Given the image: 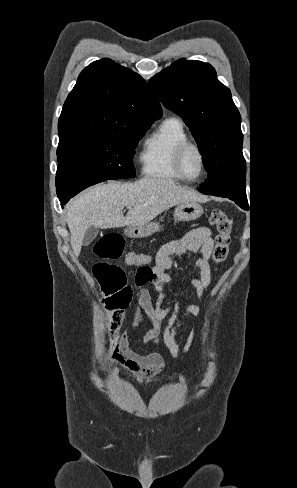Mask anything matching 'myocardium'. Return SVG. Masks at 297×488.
Returning a JSON list of instances; mask_svg holds the SVG:
<instances>
[{"label":"myocardium","instance_id":"myocardium-1","mask_svg":"<svg viewBox=\"0 0 297 488\" xmlns=\"http://www.w3.org/2000/svg\"><path fill=\"white\" fill-rule=\"evenodd\" d=\"M190 148H193L197 151V153L199 154L200 156V159H201V170H200V173L196 176V177H188L184 170H183V166H182V160H183V156L184 154L186 153V151ZM173 166H174V169L176 171V173L179 175V177L182 179V180H185V181H188V182H194V181H197L199 180L206 172V156H205V153L204 151L202 150V148L192 142V141H186V142H183L181 143L176 151H175V154H174V158H173Z\"/></svg>","mask_w":297,"mask_h":488}]
</instances>
